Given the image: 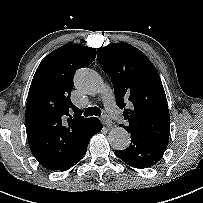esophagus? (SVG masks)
<instances>
[{"instance_id": "obj_1", "label": "esophagus", "mask_w": 203, "mask_h": 203, "mask_svg": "<svg viewBox=\"0 0 203 203\" xmlns=\"http://www.w3.org/2000/svg\"><path fill=\"white\" fill-rule=\"evenodd\" d=\"M101 121L104 125H106L108 127H112V125H113L112 121L107 116H102Z\"/></svg>"}]
</instances>
